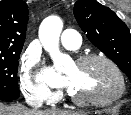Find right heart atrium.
I'll use <instances>...</instances> for the list:
<instances>
[{
    "instance_id": "obj_1",
    "label": "right heart atrium",
    "mask_w": 131,
    "mask_h": 115,
    "mask_svg": "<svg viewBox=\"0 0 131 115\" xmlns=\"http://www.w3.org/2000/svg\"><path fill=\"white\" fill-rule=\"evenodd\" d=\"M37 61L36 57H25L21 66L20 87L27 99L47 102L55 97V94L44 83L33 80L31 71Z\"/></svg>"
}]
</instances>
